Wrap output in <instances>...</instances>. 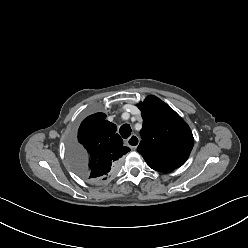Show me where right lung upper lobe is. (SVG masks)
<instances>
[{
	"mask_svg": "<svg viewBox=\"0 0 248 248\" xmlns=\"http://www.w3.org/2000/svg\"><path fill=\"white\" fill-rule=\"evenodd\" d=\"M116 130V125L106 120L104 113L90 115L81 123L78 141L87 155L84 176L88 180L108 176L121 157L130 151V148L123 146Z\"/></svg>",
	"mask_w": 248,
	"mask_h": 248,
	"instance_id": "obj_1",
	"label": "right lung upper lobe"
}]
</instances>
